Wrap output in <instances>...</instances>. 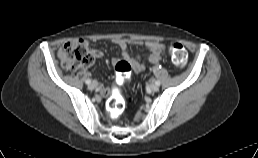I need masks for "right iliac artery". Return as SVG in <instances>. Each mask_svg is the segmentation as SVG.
Listing matches in <instances>:
<instances>
[{"label":"right iliac artery","mask_w":258,"mask_h":158,"mask_svg":"<svg viewBox=\"0 0 258 158\" xmlns=\"http://www.w3.org/2000/svg\"><path fill=\"white\" fill-rule=\"evenodd\" d=\"M85 82H86V84H90L91 80L87 79Z\"/></svg>","instance_id":"82829eb1"}]
</instances>
